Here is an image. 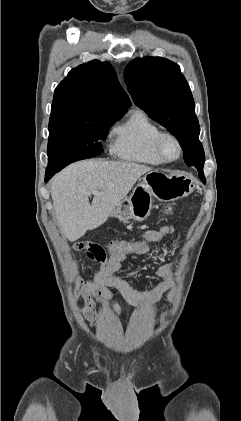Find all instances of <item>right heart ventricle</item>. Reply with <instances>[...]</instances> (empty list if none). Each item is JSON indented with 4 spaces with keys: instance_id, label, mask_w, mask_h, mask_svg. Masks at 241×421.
Here are the masks:
<instances>
[{
    "instance_id": "1",
    "label": "right heart ventricle",
    "mask_w": 241,
    "mask_h": 421,
    "mask_svg": "<svg viewBox=\"0 0 241 421\" xmlns=\"http://www.w3.org/2000/svg\"><path fill=\"white\" fill-rule=\"evenodd\" d=\"M160 132L144 111L134 110L126 121L115 127L111 151L124 160L160 165L163 161L154 146Z\"/></svg>"
}]
</instances>
